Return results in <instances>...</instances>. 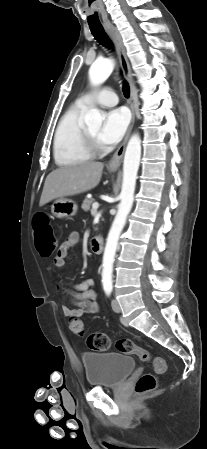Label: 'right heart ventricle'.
I'll list each match as a JSON object with an SVG mask.
<instances>
[{"mask_svg":"<svg viewBox=\"0 0 207 449\" xmlns=\"http://www.w3.org/2000/svg\"><path fill=\"white\" fill-rule=\"evenodd\" d=\"M86 106L78 103L61 117L54 134L53 155L58 166L76 165L91 159L82 143L81 117Z\"/></svg>","mask_w":207,"mask_h":449,"instance_id":"1","label":"right heart ventricle"}]
</instances>
